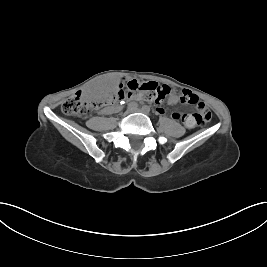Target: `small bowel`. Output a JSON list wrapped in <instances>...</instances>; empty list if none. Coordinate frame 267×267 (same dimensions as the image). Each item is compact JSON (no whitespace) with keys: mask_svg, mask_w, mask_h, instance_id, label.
<instances>
[{"mask_svg":"<svg viewBox=\"0 0 267 267\" xmlns=\"http://www.w3.org/2000/svg\"><path fill=\"white\" fill-rule=\"evenodd\" d=\"M179 101V97L176 93L172 92L171 95L169 96V103L171 104H177ZM197 107H206L204 103L198 102ZM119 108L118 107H113V108H107L104 110V112H110V111H117ZM157 110L161 113H164V110L162 108H157ZM191 115L192 114H181L179 112H174L172 113V118L174 120H182L186 127L188 128H193L195 127V123L191 121Z\"/></svg>","mask_w":267,"mask_h":267,"instance_id":"small-bowel-1","label":"small bowel"}]
</instances>
